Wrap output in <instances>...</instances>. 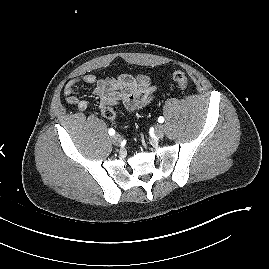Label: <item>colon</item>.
Segmentation results:
<instances>
[{
	"label": "colon",
	"instance_id": "5ec220e1",
	"mask_svg": "<svg viewBox=\"0 0 269 269\" xmlns=\"http://www.w3.org/2000/svg\"><path fill=\"white\" fill-rule=\"evenodd\" d=\"M173 80L176 82V84L178 85V87L182 93H185L187 91L188 80H187L185 73H183L182 71H175L173 73ZM107 115L111 119H113L115 117V114L113 111H109L107 113Z\"/></svg>",
	"mask_w": 269,
	"mask_h": 269
}]
</instances>
